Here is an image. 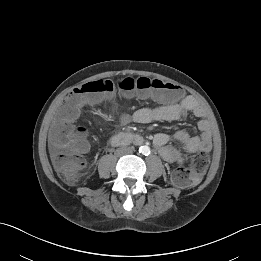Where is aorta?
I'll return each mask as SVG.
<instances>
[{"label": "aorta", "mask_w": 261, "mask_h": 261, "mask_svg": "<svg viewBox=\"0 0 261 261\" xmlns=\"http://www.w3.org/2000/svg\"><path fill=\"white\" fill-rule=\"evenodd\" d=\"M139 152L143 155H149L150 154V148L147 145L141 146L139 148Z\"/></svg>", "instance_id": "aorta-1"}]
</instances>
